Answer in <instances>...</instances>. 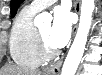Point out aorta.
I'll return each mask as SVG.
<instances>
[{"mask_svg":"<svg viewBox=\"0 0 102 75\" xmlns=\"http://www.w3.org/2000/svg\"><path fill=\"white\" fill-rule=\"evenodd\" d=\"M94 9L95 0H82L79 26L74 41L64 61L61 75H75L85 50ZM51 21L52 16L48 13H41L34 19V23L37 26L50 24Z\"/></svg>","mask_w":102,"mask_h":75,"instance_id":"obj_1","label":"aorta"}]
</instances>
